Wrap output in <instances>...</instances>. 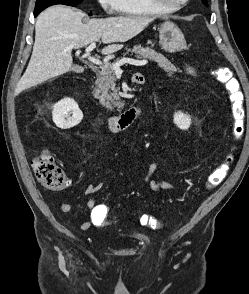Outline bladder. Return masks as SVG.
<instances>
[{
    "label": "bladder",
    "instance_id": "31cf9c89",
    "mask_svg": "<svg viewBox=\"0 0 249 294\" xmlns=\"http://www.w3.org/2000/svg\"><path fill=\"white\" fill-rule=\"evenodd\" d=\"M133 238H134L136 241H143V240H145L146 235H145L144 233H134V234H133Z\"/></svg>",
    "mask_w": 249,
    "mask_h": 294
}]
</instances>
